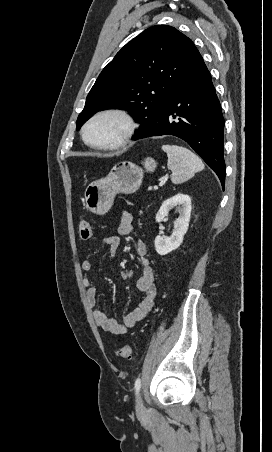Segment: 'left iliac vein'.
I'll return each mask as SVG.
<instances>
[{
	"mask_svg": "<svg viewBox=\"0 0 272 452\" xmlns=\"http://www.w3.org/2000/svg\"><path fill=\"white\" fill-rule=\"evenodd\" d=\"M136 411L138 414H142L144 412V406L140 396H138L136 399Z\"/></svg>",
	"mask_w": 272,
	"mask_h": 452,
	"instance_id": "1",
	"label": "left iliac vein"
}]
</instances>
